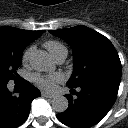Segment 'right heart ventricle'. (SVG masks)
<instances>
[{"label": "right heart ventricle", "mask_w": 128, "mask_h": 128, "mask_svg": "<svg viewBox=\"0 0 128 128\" xmlns=\"http://www.w3.org/2000/svg\"><path fill=\"white\" fill-rule=\"evenodd\" d=\"M45 48L49 51L54 59H56L61 54H67L66 47L56 40H48L44 43Z\"/></svg>", "instance_id": "obj_1"}]
</instances>
